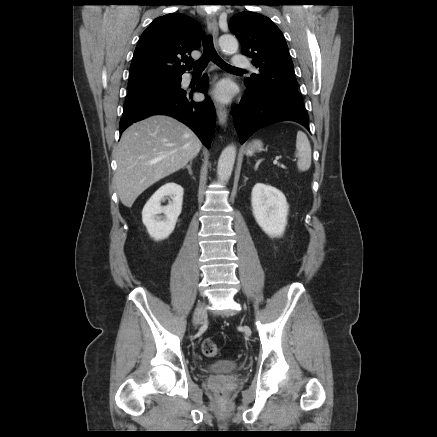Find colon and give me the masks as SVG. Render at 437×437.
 <instances>
[{
  "instance_id": "colon-1",
  "label": "colon",
  "mask_w": 437,
  "mask_h": 437,
  "mask_svg": "<svg viewBox=\"0 0 437 437\" xmlns=\"http://www.w3.org/2000/svg\"><path fill=\"white\" fill-rule=\"evenodd\" d=\"M201 349L203 355L208 358H215L219 353L217 344L211 339H205L202 343ZM220 395H222V391H220Z\"/></svg>"
}]
</instances>
